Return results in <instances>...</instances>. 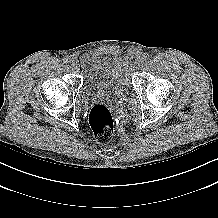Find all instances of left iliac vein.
<instances>
[{
  "mask_svg": "<svg viewBox=\"0 0 218 218\" xmlns=\"http://www.w3.org/2000/svg\"><path fill=\"white\" fill-rule=\"evenodd\" d=\"M140 63V60H135V63L133 64L135 67L138 66V64Z\"/></svg>",
  "mask_w": 218,
  "mask_h": 218,
  "instance_id": "left-iliac-vein-1",
  "label": "left iliac vein"
}]
</instances>
